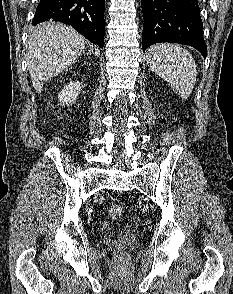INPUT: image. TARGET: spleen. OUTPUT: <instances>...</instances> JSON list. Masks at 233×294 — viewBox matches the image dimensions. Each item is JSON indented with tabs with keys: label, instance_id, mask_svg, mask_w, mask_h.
I'll use <instances>...</instances> for the list:
<instances>
[{
	"label": "spleen",
	"instance_id": "spleen-1",
	"mask_svg": "<svg viewBox=\"0 0 233 294\" xmlns=\"http://www.w3.org/2000/svg\"><path fill=\"white\" fill-rule=\"evenodd\" d=\"M151 70L167 81L183 100L190 96L197 78L192 55L183 47L162 43L151 46L146 54Z\"/></svg>",
	"mask_w": 233,
	"mask_h": 294
}]
</instances>
